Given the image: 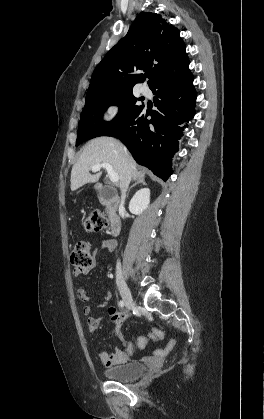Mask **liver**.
<instances>
[{
  "instance_id": "1",
  "label": "liver",
  "mask_w": 264,
  "mask_h": 419,
  "mask_svg": "<svg viewBox=\"0 0 264 419\" xmlns=\"http://www.w3.org/2000/svg\"><path fill=\"white\" fill-rule=\"evenodd\" d=\"M99 163H109L118 174V185L121 189L128 187L130 180H136L144 174L138 172L136 163L125 146L111 137H98L84 147L82 154L72 167L71 190L75 191L87 183H96L102 175L101 171L90 174L91 168ZM129 171V175H128Z\"/></svg>"
}]
</instances>
